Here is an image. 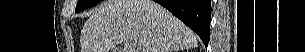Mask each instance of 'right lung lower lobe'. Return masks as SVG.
Here are the masks:
<instances>
[{
    "label": "right lung lower lobe",
    "mask_w": 305,
    "mask_h": 52,
    "mask_svg": "<svg viewBox=\"0 0 305 52\" xmlns=\"http://www.w3.org/2000/svg\"><path fill=\"white\" fill-rule=\"evenodd\" d=\"M189 26L203 41L210 39L211 0H154Z\"/></svg>",
    "instance_id": "98d812e1"
}]
</instances>
